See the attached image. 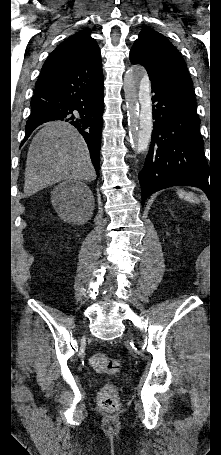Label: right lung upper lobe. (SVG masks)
<instances>
[{
	"instance_id": "cb5924a9",
	"label": "right lung upper lobe",
	"mask_w": 221,
	"mask_h": 455,
	"mask_svg": "<svg viewBox=\"0 0 221 455\" xmlns=\"http://www.w3.org/2000/svg\"><path fill=\"white\" fill-rule=\"evenodd\" d=\"M100 50L89 30H82L63 41L47 58L36 85L44 79L92 58H99Z\"/></svg>"
}]
</instances>
